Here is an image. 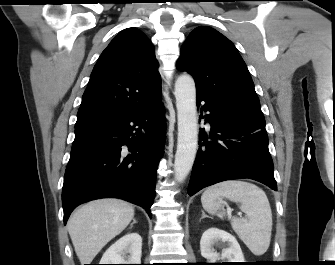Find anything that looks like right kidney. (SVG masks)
I'll use <instances>...</instances> for the list:
<instances>
[{"label": "right kidney", "instance_id": "1", "mask_svg": "<svg viewBox=\"0 0 335 265\" xmlns=\"http://www.w3.org/2000/svg\"><path fill=\"white\" fill-rule=\"evenodd\" d=\"M142 238L128 233L112 244L101 258L100 264H141Z\"/></svg>", "mask_w": 335, "mask_h": 265}]
</instances>
